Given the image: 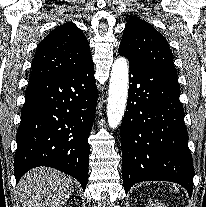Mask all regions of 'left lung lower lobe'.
Masks as SVG:
<instances>
[{
	"mask_svg": "<svg viewBox=\"0 0 206 207\" xmlns=\"http://www.w3.org/2000/svg\"><path fill=\"white\" fill-rule=\"evenodd\" d=\"M128 60V101L120 129L124 189L127 193L142 181H171L191 195L194 169L177 74Z\"/></svg>",
	"mask_w": 206,
	"mask_h": 207,
	"instance_id": "0a47b994",
	"label": "left lung lower lobe"
}]
</instances>
